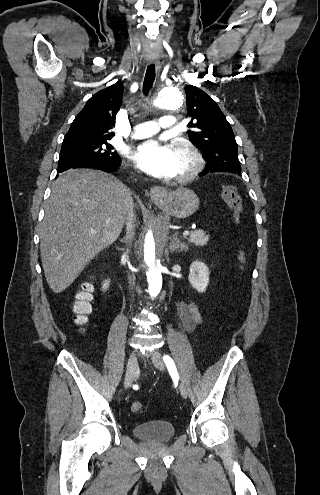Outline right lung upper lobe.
I'll use <instances>...</instances> for the list:
<instances>
[{
  "label": "right lung upper lobe",
  "mask_w": 320,
  "mask_h": 495,
  "mask_svg": "<svg viewBox=\"0 0 320 495\" xmlns=\"http://www.w3.org/2000/svg\"><path fill=\"white\" fill-rule=\"evenodd\" d=\"M123 86L115 83L94 94L75 117L64 140L111 139L116 114L121 105Z\"/></svg>",
  "instance_id": "1"
}]
</instances>
